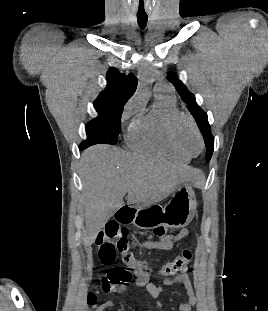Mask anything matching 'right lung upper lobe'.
Here are the masks:
<instances>
[{"label":"right lung upper lobe","instance_id":"obj_1","mask_svg":"<svg viewBox=\"0 0 268 311\" xmlns=\"http://www.w3.org/2000/svg\"><path fill=\"white\" fill-rule=\"evenodd\" d=\"M106 80V88L100 92L94 103L123 110L136 90L137 78L133 74H121L116 68H111L107 72Z\"/></svg>","mask_w":268,"mask_h":311}]
</instances>
